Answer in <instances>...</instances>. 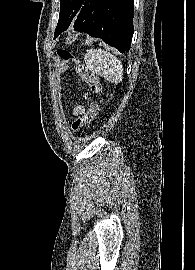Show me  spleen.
Returning a JSON list of instances; mask_svg holds the SVG:
<instances>
[{
    "label": "spleen",
    "instance_id": "obj_1",
    "mask_svg": "<svg viewBox=\"0 0 195 270\" xmlns=\"http://www.w3.org/2000/svg\"><path fill=\"white\" fill-rule=\"evenodd\" d=\"M87 68L111 83L123 79V66L119 59L102 49H89L84 57Z\"/></svg>",
    "mask_w": 195,
    "mask_h": 270
}]
</instances>
